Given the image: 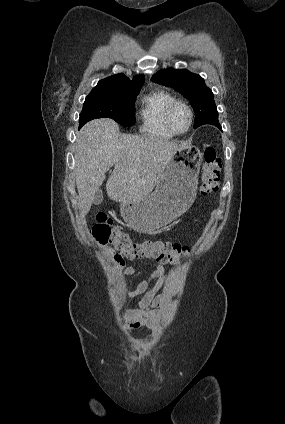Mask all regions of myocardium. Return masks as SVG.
<instances>
[{"label":"myocardium","instance_id":"1","mask_svg":"<svg viewBox=\"0 0 285 424\" xmlns=\"http://www.w3.org/2000/svg\"><path fill=\"white\" fill-rule=\"evenodd\" d=\"M178 106H183V107H185L186 109H187V111H188V113H189V118H190V120H189V125H188V127H187V129L185 130V131H178L175 127H174V125H173V123H172V113H173V111H174V109L176 108V107H178ZM193 121H194V112H193V109H192V107L187 103V102H185V101H183V100H179V99H176L170 106H169V108H168V110H167V112H166V123H167V125H168V127H169V129L174 133V134H176V135H183V134H186V133H188L190 130H191V128H192V125H193Z\"/></svg>","mask_w":285,"mask_h":424}]
</instances>
